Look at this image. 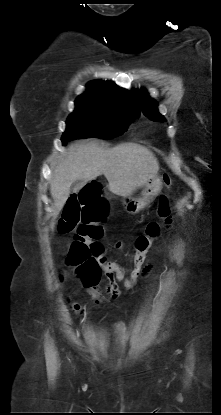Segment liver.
Masks as SVG:
<instances>
[{"mask_svg": "<svg viewBox=\"0 0 221 415\" xmlns=\"http://www.w3.org/2000/svg\"><path fill=\"white\" fill-rule=\"evenodd\" d=\"M159 163L147 148L122 143L104 149L96 142L73 144L54 169L50 193L56 213L65 205L73 182H85L104 175L112 193L128 197L157 175Z\"/></svg>", "mask_w": 221, "mask_h": 415, "instance_id": "1", "label": "liver"}]
</instances>
